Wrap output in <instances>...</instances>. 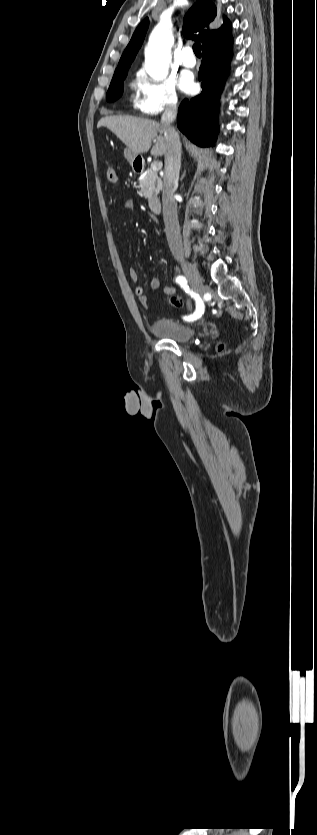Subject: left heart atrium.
Here are the masks:
<instances>
[{"label": "left heart atrium", "instance_id": "39dd6f15", "mask_svg": "<svg viewBox=\"0 0 317 835\" xmlns=\"http://www.w3.org/2000/svg\"><path fill=\"white\" fill-rule=\"evenodd\" d=\"M180 88L187 93H191L195 90L196 84L194 82L193 76L189 73H184L180 78Z\"/></svg>", "mask_w": 317, "mask_h": 835}]
</instances>
